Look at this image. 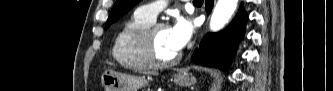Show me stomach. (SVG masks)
Listing matches in <instances>:
<instances>
[{"label":"stomach","mask_w":333,"mask_h":91,"mask_svg":"<svg viewBox=\"0 0 333 91\" xmlns=\"http://www.w3.org/2000/svg\"><path fill=\"white\" fill-rule=\"evenodd\" d=\"M195 81V78L188 74L174 77V82L183 87L190 86ZM101 83L105 91H139L148 84V79L107 69L101 75Z\"/></svg>","instance_id":"stomach-1"}]
</instances>
